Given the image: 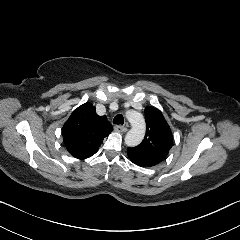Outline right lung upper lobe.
Wrapping results in <instances>:
<instances>
[{"label": "right lung upper lobe", "mask_w": 240, "mask_h": 240, "mask_svg": "<svg viewBox=\"0 0 240 240\" xmlns=\"http://www.w3.org/2000/svg\"><path fill=\"white\" fill-rule=\"evenodd\" d=\"M112 129L105 116H98L95 107L85 103L75 109L64 124V144L72 156L83 160L97 152Z\"/></svg>", "instance_id": "obj_1"}]
</instances>
